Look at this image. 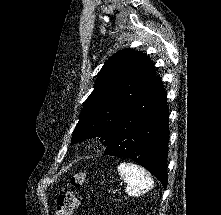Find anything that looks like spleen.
<instances>
[{
  "mask_svg": "<svg viewBox=\"0 0 221 215\" xmlns=\"http://www.w3.org/2000/svg\"><path fill=\"white\" fill-rule=\"evenodd\" d=\"M118 172L127 183L126 192L137 196L148 192L153 187V180L147 171L133 163H120Z\"/></svg>",
  "mask_w": 221,
  "mask_h": 215,
  "instance_id": "1",
  "label": "spleen"
}]
</instances>
